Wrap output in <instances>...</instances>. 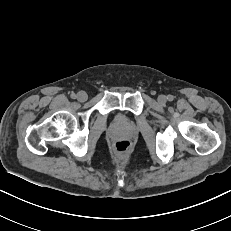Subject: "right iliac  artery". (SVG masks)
<instances>
[{"mask_svg": "<svg viewBox=\"0 0 231 231\" xmlns=\"http://www.w3.org/2000/svg\"><path fill=\"white\" fill-rule=\"evenodd\" d=\"M76 95L74 93L71 94V98L74 99Z\"/></svg>", "mask_w": 231, "mask_h": 231, "instance_id": "right-iliac-artery-1", "label": "right iliac artery"}]
</instances>
